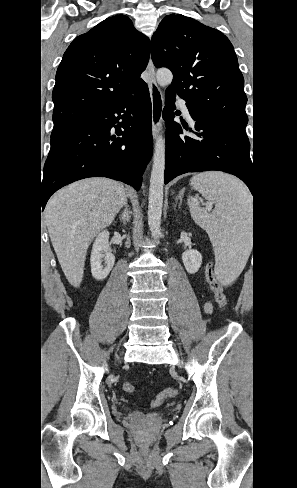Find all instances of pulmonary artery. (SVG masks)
Segmentation results:
<instances>
[{
    "instance_id": "1",
    "label": "pulmonary artery",
    "mask_w": 297,
    "mask_h": 488,
    "mask_svg": "<svg viewBox=\"0 0 297 488\" xmlns=\"http://www.w3.org/2000/svg\"><path fill=\"white\" fill-rule=\"evenodd\" d=\"M178 103H179L180 108H181L183 114L185 115V117L190 118L189 109H188L186 101L182 98H178Z\"/></svg>"
}]
</instances>
